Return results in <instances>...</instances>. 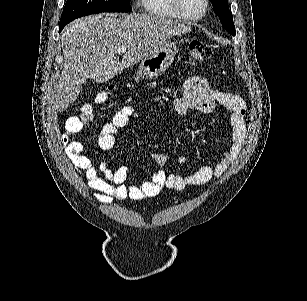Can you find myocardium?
<instances>
[{
	"mask_svg": "<svg viewBox=\"0 0 307 301\" xmlns=\"http://www.w3.org/2000/svg\"><path fill=\"white\" fill-rule=\"evenodd\" d=\"M175 1V0H174ZM183 0H176L171 2L172 11L176 12V17H179L180 22H200V17L206 15L208 5L206 0H201L200 8L193 10H180L182 8Z\"/></svg>",
	"mask_w": 307,
	"mask_h": 301,
	"instance_id": "myocardium-1",
	"label": "myocardium"
}]
</instances>
